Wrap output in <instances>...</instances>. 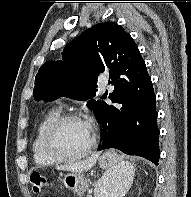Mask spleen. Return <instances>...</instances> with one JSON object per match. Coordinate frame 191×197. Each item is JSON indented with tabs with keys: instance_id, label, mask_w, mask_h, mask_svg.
Here are the masks:
<instances>
[{
	"instance_id": "obj_1",
	"label": "spleen",
	"mask_w": 191,
	"mask_h": 197,
	"mask_svg": "<svg viewBox=\"0 0 191 197\" xmlns=\"http://www.w3.org/2000/svg\"><path fill=\"white\" fill-rule=\"evenodd\" d=\"M134 177V166L130 162L118 163L114 170L109 173V180L112 181L111 193L101 197H123L132 185ZM99 196V191H96Z\"/></svg>"
}]
</instances>
